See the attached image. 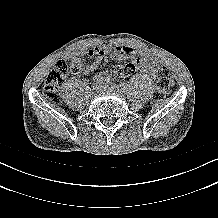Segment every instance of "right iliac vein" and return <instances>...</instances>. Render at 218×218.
I'll use <instances>...</instances> for the list:
<instances>
[{
    "label": "right iliac vein",
    "mask_w": 218,
    "mask_h": 218,
    "mask_svg": "<svg viewBox=\"0 0 218 218\" xmlns=\"http://www.w3.org/2000/svg\"><path fill=\"white\" fill-rule=\"evenodd\" d=\"M101 85H93L92 87V94H97L101 90Z\"/></svg>",
    "instance_id": "63e3f726"
}]
</instances>
